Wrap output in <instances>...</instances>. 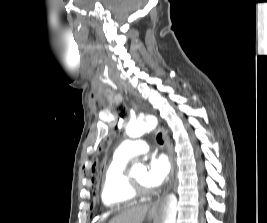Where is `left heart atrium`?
<instances>
[{
    "mask_svg": "<svg viewBox=\"0 0 267 223\" xmlns=\"http://www.w3.org/2000/svg\"><path fill=\"white\" fill-rule=\"evenodd\" d=\"M171 170L170 160L166 155L153 156L146 172V183L150 188L160 187L168 178Z\"/></svg>",
    "mask_w": 267,
    "mask_h": 223,
    "instance_id": "1",
    "label": "left heart atrium"
}]
</instances>
